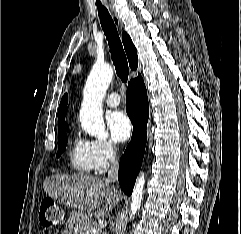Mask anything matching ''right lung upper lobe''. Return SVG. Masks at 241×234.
<instances>
[{"instance_id": "1", "label": "right lung upper lobe", "mask_w": 241, "mask_h": 234, "mask_svg": "<svg viewBox=\"0 0 241 234\" xmlns=\"http://www.w3.org/2000/svg\"><path fill=\"white\" fill-rule=\"evenodd\" d=\"M122 41L128 57L129 65L132 70H136L138 66L137 50L133 45L131 38L125 32L122 33ZM67 102L68 95L65 94L61 100L58 109V131L68 127V125L65 122V115L67 113Z\"/></svg>"}]
</instances>
